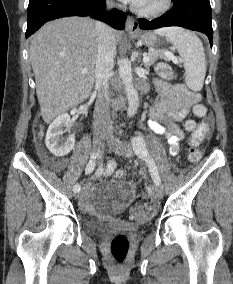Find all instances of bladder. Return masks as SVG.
Instances as JSON below:
<instances>
[{
  "label": "bladder",
  "instance_id": "obj_1",
  "mask_svg": "<svg viewBox=\"0 0 233 284\" xmlns=\"http://www.w3.org/2000/svg\"><path fill=\"white\" fill-rule=\"evenodd\" d=\"M133 197L131 185L122 180H111L98 184L84 197V201L101 206H119ZM124 226L121 221L89 219L84 223L85 231L92 236H100L114 227Z\"/></svg>",
  "mask_w": 233,
  "mask_h": 284
}]
</instances>
